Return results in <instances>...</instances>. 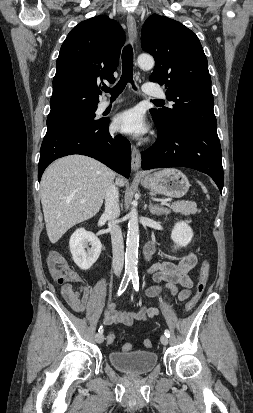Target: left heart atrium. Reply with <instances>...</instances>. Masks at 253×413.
I'll return each mask as SVG.
<instances>
[{
    "label": "left heart atrium",
    "instance_id": "left-heart-atrium-1",
    "mask_svg": "<svg viewBox=\"0 0 253 413\" xmlns=\"http://www.w3.org/2000/svg\"><path fill=\"white\" fill-rule=\"evenodd\" d=\"M112 127L116 132L134 137H141L148 132V124L139 108H131L118 113L114 117Z\"/></svg>",
    "mask_w": 253,
    "mask_h": 413
}]
</instances>
